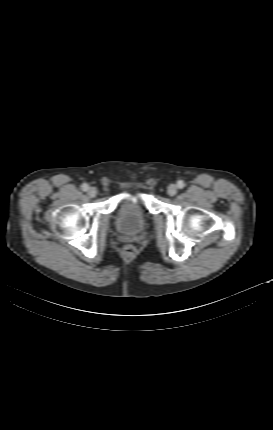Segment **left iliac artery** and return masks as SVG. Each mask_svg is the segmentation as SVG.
<instances>
[{
	"mask_svg": "<svg viewBox=\"0 0 273 430\" xmlns=\"http://www.w3.org/2000/svg\"><path fill=\"white\" fill-rule=\"evenodd\" d=\"M184 186H185V183H184L183 181H179V182H178V187H179L180 189L184 188Z\"/></svg>",
	"mask_w": 273,
	"mask_h": 430,
	"instance_id": "left-iliac-artery-1",
	"label": "left iliac artery"
}]
</instances>
